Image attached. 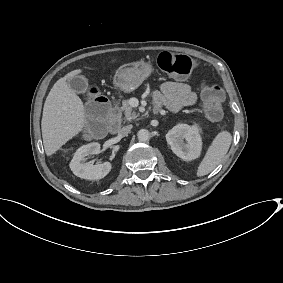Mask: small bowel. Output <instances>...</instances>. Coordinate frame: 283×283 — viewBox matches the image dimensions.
Masks as SVG:
<instances>
[{"label": "small bowel", "instance_id": "small-bowel-1", "mask_svg": "<svg viewBox=\"0 0 283 283\" xmlns=\"http://www.w3.org/2000/svg\"><path fill=\"white\" fill-rule=\"evenodd\" d=\"M157 107H166L170 111H179L183 107L192 106L197 101L196 93L182 82H166L153 95Z\"/></svg>", "mask_w": 283, "mask_h": 283}]
</instances>
